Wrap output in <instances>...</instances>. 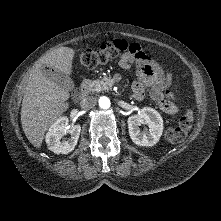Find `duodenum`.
<instances>
[{
	"label": "duodenum",
	"instance_id": "410a0bca",
	"mask_svg": "<svg viewBox=\"0 0 221 221\" xmlns=\"http://www.w3.org/2000/svg\"><path fill=\"white\" fill-rule=\"evenodd\" d=\"M88 93H89V81L83 80L79 87L78 96L81 99V98L86 97Z\"/></svg>",
	"mask_w": 221,
	"mask_h": 221
}]
</instances>
